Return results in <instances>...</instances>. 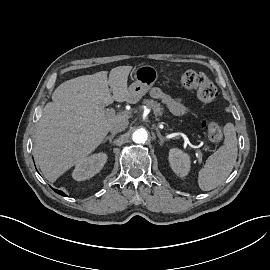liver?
<instances>
[{"instance_id": "6515ba94", "label": "liver", "mask_w": 270, "mask_h": 270, "mask_svg": "<svg viewBox=\"0 0 270 270\" xmlns=\"http://www.w3.org/2000/svg\"><path fill=\"white\" fill-rule=\"evenodd\" d=\"M131 69L119 66L109 76L107 71L79 76L55 89L34 135L33 155L47 180L56 181L102 143L112 124L131 117L105 110L113 101H129Z\"/></svg>"}]
</instances>
